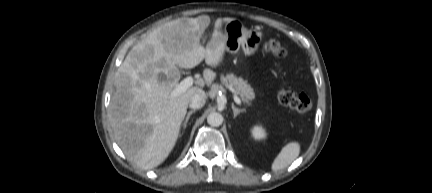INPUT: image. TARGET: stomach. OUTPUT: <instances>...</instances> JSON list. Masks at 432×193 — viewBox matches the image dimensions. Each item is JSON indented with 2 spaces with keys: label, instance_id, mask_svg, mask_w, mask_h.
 Instances as JSON below:
<instances>
[{
  "label": "stomach",
  "instance_id": "0dacf381",
  "mask_svg": "<svg viewBox=\"0 0 432 193\" xmlns=\"http://www.w3.org/2000/svg\"><path fill=\"white\" fill-rule=\"evenodd\" d=\"M262 41V33L247 29L237 19L227 22L224 27L225 50L235 53L242 48L245 55L255 54Z\"/></svg>",
  "mask_w": 432,
  "mask_h": 193
}]
</instances>
